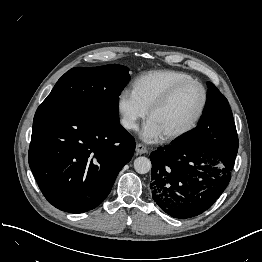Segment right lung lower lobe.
<instances>
[{
    "instance_id": "obj_1",
    "label": "right lung lower lobe",
    "mask_w": 262,
    "mask_h": 262,
    "mask_svg": "<svg viewBox=\"0 0 262 262\" xmlns=\"http://www.w3.org/2000/svg\"><path fill=\"white\" fill-rule=\"evenodd\" d=\"M134 139L120 125L79 108L41 104L34 116L29 166L56 208L82 213L109 194L134 153Z\"/></svg>"
}]
</instances>
